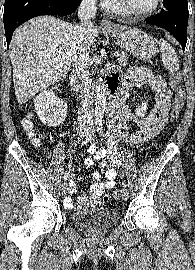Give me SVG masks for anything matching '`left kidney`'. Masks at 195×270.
Listing matches in <instances>:
<instances>
[{"instance_id": "1", "label": "left kidney", "mask_w": 195, "mask_h": 270, "mask_svg": "<svg viewBox=\"0 0 195 270\" xmlns=\"http://www.w3.org/2000/svg\"><path fill=\"white\" fill-rule=\"evenodd\" d=\"M147 112V102H142V104L137 106L135 109V114L138 117H144Z\"/></svg>"}]
</instances>
